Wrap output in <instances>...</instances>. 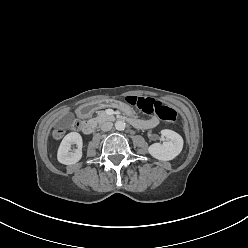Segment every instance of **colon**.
Here are the masks:
<instances>
[{"mask_svg":"<svg viewBox=\"0 0 248 248\" xmlns=\"http://www.w3.org/2000/svg\"><path fill=\"white\" fill-rule=\"evenodd\" d=\"M129 102L137 106L142 112L146 114H156L161 120L173 123L177 119L176 111L166 106L160 101H157L152 98L146 97H131ZM64 130H56L54 135L56 138H61L64 135Z\"/></svg>","mask_w":248,"mask_h":248,"instance_id":"obj_1","label":"colon"}]
</instances>
